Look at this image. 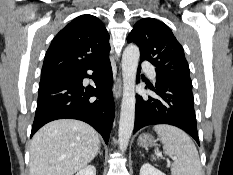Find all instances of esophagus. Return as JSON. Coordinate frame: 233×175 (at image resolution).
<instances>
[{
	"label": "esophagus",
	"mask_w": 233,
	"mask_h": 175,
	"mask_svg": "<svg viewBox=\"0 0 233 175\" xmlns=\"http://www.w3.org/2000/svg\"><path fill=\"white\" fill-rule=\"evenodd\" d=\"M122 93V84L120 79H117L116 82L113 84V94L116 99H119L121 97Z\"/></svg>",
	"instance_id": "1"
}]
</instances>
